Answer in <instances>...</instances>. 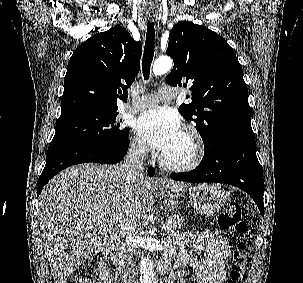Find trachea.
Instances as JSON below:
<instances>
[{
  "label": "trachea",
  "mask_w": 303,
  "mask_h": 283,
  "mask_svg": "<svg viewBox=\"0 0 303 283\" xmlns=\"http://www.w3.org/2000/svg\"><path fill=\"white\" fill-rule=\"evenodd\" d=\"M154 49H155V29L153 23L148 22L146 41H145L143 60H142V71L145 80H148L150 76V68L154 57Z\"/></svg>",
  "instance_id": "1"
}]
</instances>
